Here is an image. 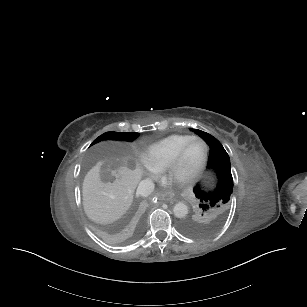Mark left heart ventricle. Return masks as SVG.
Returning a JSON list of instances; mask_svg holds the SVG:
<instances>
[{"mask_svg":"<svg viewBox=\"0 0 307 307\" xmlns=\"http://www.w3.org/2000/svg\"><path fill=\"white\" fill-rule=\"evenodd\" d=\"M205 147L200 141L189 144L182 163L172 172L171 180L178 182L193 170L202 160Z\"/></svg>","mask_w":307,"mask_h":307,"instance_id":"1","label":"left heart ventricle"}]
</instances>
